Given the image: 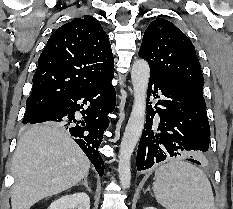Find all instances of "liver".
<instances>
[{"label": "liver", "instance_id": "1", "mask_svg": "<svg viewBox=\"0 0 233 209\" xmlns=\"http://www.w3.org/2000/svg\"><path fill=\"white\" fill-rule=\"evenodd\" d=\"M90 161L65 129L51 123L29 128L12 161V209H30L39 200L79 183Z\"/></svg>", "mask_w": 233, "mask_h": 209}]
</instances>
